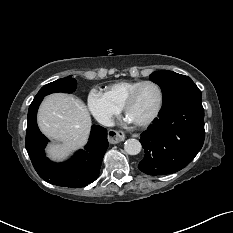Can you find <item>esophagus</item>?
I'll return each instance as SVG.
<instances>
[{"instance_id": "obj_1", "label": "esophagus", "mask_w": 233, "mask_h": 233, "mask_svg": "<svg viewBox=\"0 0 233 233\" xmlns=\"http://www.w3.org/2000/svg\"><path fill=\"white\" fill-rule=\"evenodd\" d=\"M135 137H138V134H134ZM126 138L124 132L110 129L108 131V141L111 144H117L121 141H124Z\"/></svg>"}]
</instances>
